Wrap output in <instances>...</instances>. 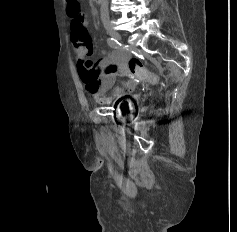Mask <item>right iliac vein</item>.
Listing matches in <instances>:
<instances>
[{
  "mask_svg": "<svg viewBox=\"0 0 237 232\" xmlns=\"http://www.w3.org/2000/svg\"><path fill=\"white\" fill-rule=\"evenodd\" d=\"M107 32L114 38L121 40V35L115 31L111 26H106Z\"/></svg>",
  "mask_w": 237,
  "mask_h": 232,
  "instance_id": "63e3f726",
  "label": "right iliac vein"
}]
</instances>
